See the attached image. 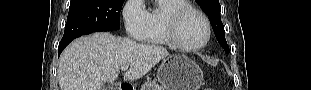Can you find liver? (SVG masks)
Here are the masks:
<instances>
[{
  "mask_svg": "<svg viewBox=\"0 0 311 90\" xmlns=\"http://www.w3.org/2000/svg\"><path fill=\"white\" fill-rule=\"evenodd\" d=\"M169 56L162 46L139 44L129 38L98 32L74 40L62 52L58 66L60 90H101L118 78L121 66H130L126 81L142 78Z\"/></svg>",
  "mask_w": 311,
  "mask_h": 90,
  "instance_id": "6515ba94",
  "label": "liver"
}]
</instances>
